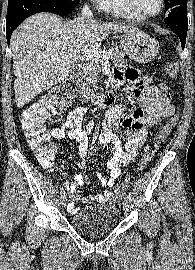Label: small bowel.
Listing matches in <instances>:
<instances>
[{"instance_id": "1", "label": "small bowel", "mask_w": 195, "mask_h": 270, "mask_svg": "<svg viewBox=\"0 0 195 270\" xmlns=\"http://www.w3.org/2000/svg\"><path fill=\"white\" fill-rule=\"evenodd\" d=\"M115 79L125 86L124 90L131 94L140 104V108H127L123 105L113 106L106 114L103 132L99 137L100 145L111 150V156L107 162L109 177L105 178L97 173L100 183L108 189L99 194H90L85 198L76 195L78 186L83 183V177L79 173L73 175V181L68 185L70 200L67 209L75 214L79 208V200H91L96 202H114L118 197L111 190L116 180L121 175V169L133 163L139 151L145 146L148 137L156 130L160 121L173 115L174 107L170 103L171 97L163 83H154L149 76H140L135 69H127L124 72H116ZM87 111L84 108L72 110L60 126L53 128L48 134L49 138L63 139L68 137L78 143L80 170L86 168L85 158L88 151V133L93 123L83 119ZM119 131L124 132L125 145L121 143ZM145 151L148 147H144Z\"/></svg>"}]
</instances>
